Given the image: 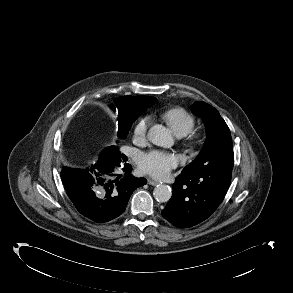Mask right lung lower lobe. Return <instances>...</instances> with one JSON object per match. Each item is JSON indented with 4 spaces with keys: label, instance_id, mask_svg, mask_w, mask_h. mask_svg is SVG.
Returning a JSON list of instances; mask_svg holds the SVG:
<instances>
[{
    "label": "right lung lower lobe",
    "instance_id": "right-lung-lower-lobe-1",
    "mask_svg": "<svg viewBox=\"0 0 293 293\" xmlns=\"http://www.w3.org/2000/svg\"><path fill=\"white\" fill-rule=\"evenodd\" d=\"M105 149L99 161L86 170L63 168L61 178L68 197L85 217L103 223L121 215L134 190L147 183L144 178H134L129 173L131 165L124 164L125 177L116 173L126 156Z\"/></svg>",
    "mask_w": 293,
    "mask_h": 293
}]
</instances>
